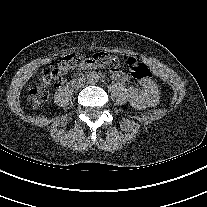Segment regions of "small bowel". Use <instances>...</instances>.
I'll list each match as a JSON object with an SVG mask.
<instances>
[{
	"instance_id": "obj_1",
	"label": "small bowel",
	"mask_w": 207,
	"mask_h": 207,
	"mask_svg": "<svg viewBox=\"0 0 207 207\" xmlns=\"http://www.w3.org/2000/svg\"><path fill=\"white\" fill-rule=\"evenodd\" d=\"M111 76L117 83H124L130 80V76L118 68H113L111 70ZM55 80H57L58 83L63 82L61 77H58ZM127 94L129 102L138 109L155 106L159 99L157 85L151 79L141 80L140 88L130 87Z\"/></svg>"
}]
</instances>
